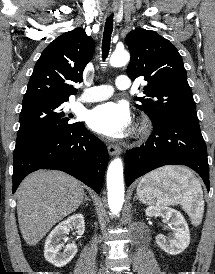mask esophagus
I'll list each match as a JSON object with an SVG mask.
<instances>
[{"mask_svg": "<svg viewBox=\"0 0 215 274\" xmlns=\"http://www.w3.org/2000/svg\"><path fill=\"white\" fill-rule=\"evenodd\" d=\"M121 152H122V149L120 148V146L114 145V144H109V145H108V153H109L111 156L120 155Z\"/></svg>", "mask_w": 215, "mask_h": 274, "instance_id": "obj_1", "label": "esophagus"}]
</instances>
